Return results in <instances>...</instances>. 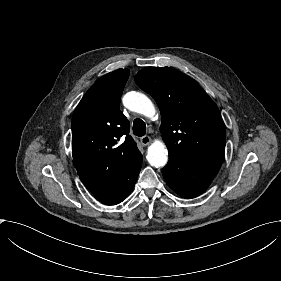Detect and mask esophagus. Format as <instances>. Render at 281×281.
<instances>
[{
  "instance_id": "34e87169",
  "label": "esophagus",
  "mask_w": 281,
  "mask_h": 281,
  "mask_svg": "<svg viewBox=\"0 0 281 281\" xmlns=\"http://www.w3.org/2000/svg\"><path fill=\"white\" fill-rule=\"evenodd\" d=\"M152 139L149 136L141 137V143L143 146H147L151 143Z\"/></svg>"
}]
</instances>
